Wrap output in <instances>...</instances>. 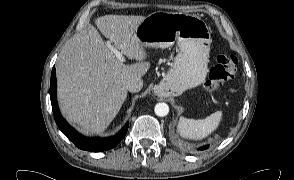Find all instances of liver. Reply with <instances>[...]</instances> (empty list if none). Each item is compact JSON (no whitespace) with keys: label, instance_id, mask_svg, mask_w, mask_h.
Here are the masks:
<instances>
[{"label":"liver","instance_id":"liver-1","mask_svg":"<svg viewBox=\"0 0 294 180\" xmlns=\"http://www.w3.org/2000/svg\"><path fill=\"white\" fill-rule=\"evenodd\" d=\"M145 16L105 15L96 19L99 31L113 46L136 62L126 65L106 46L93 25L75 34L56 62L58 101L66 119L84 134L102 133L127 98L126 84L150 68L135 31Z\"/></svg>","mask_w":294,"mask_h":180}]
</instances>
